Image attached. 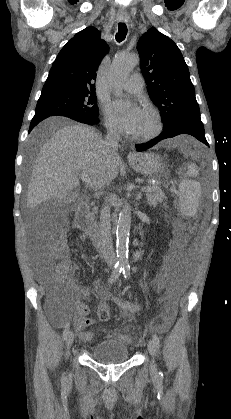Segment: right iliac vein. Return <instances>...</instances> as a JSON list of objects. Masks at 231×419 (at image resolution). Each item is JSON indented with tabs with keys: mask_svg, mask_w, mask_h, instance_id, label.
I'll return each mask as SVG.
<instances>
[{
	"mask_svg": "<svg viewBox=\"0 0 231 419\" xmlns=\"http://www.w3.org/2000/svg\"><path fill=\"white\" fill-rule=\"evenodd\" d=\"M74 341V333L73 332H69L67 339H66V345L68 348H70L73 344Z\"/></svg>",
	"mask_w": 231,
	"mask_h": 419,
	"instance_id": "1",
	"label": "right iliac vein"
}]
</instances>
